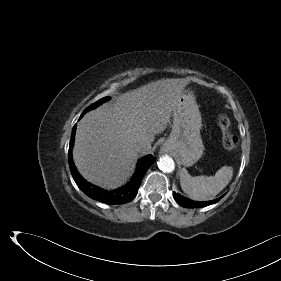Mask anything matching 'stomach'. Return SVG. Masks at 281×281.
Segmentation results:
<instances>
[{
  "instance_id": "1",
  "label": "stomach",
  "mask_w": 281,
  "mask_h": 281,
  "mask_svg": "<svg viewBox=\"0 0 281 281\" xmlns=\"http://www.w3.org/2000/svg\"><path fill=\"white\" fill-rule=\"evenodd\" d=\"M173 124L162 151L172 153L186 167L202 156L204 145L200 135L202 118L192 91H183L173 108Z\"/></svg>"
}]
</instances>
